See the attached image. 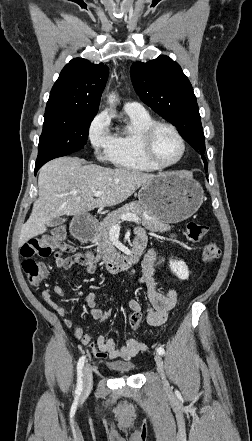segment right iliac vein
<instances>
[{
    "mask_svg": "<svg viewBox=\"0 0 252 441\" xmlns=\"http://www.w3.org/2000/svg\"><path fill=\"white\" fill-rule=\"evenodd\" d=\"M92 382H93L92 370L88 365H86L84 368L83 390L81 394L82 398L86 397L90 393L92 389Z\"/></svg>",
    "mask_w": 252,
    "mask_h": 441,
    "instance_id": "63e3f726",
    "label": "right iliac vein"
}]
</instances>
